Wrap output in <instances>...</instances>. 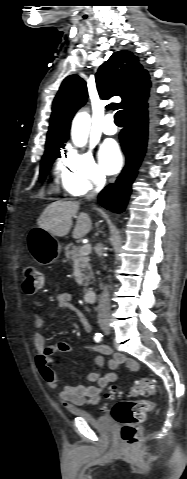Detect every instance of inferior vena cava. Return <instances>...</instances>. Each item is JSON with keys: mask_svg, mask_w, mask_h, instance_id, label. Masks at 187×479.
I'll return each instance as SVG.
<instances>
[{"mask_svg": "<svg viewBox=\"0 0 187 479\" xmlns=\"http://www.w3.org/2000/svg\"><path fill=\"white\" fill-rule=\"evenodd\" d=\"M105 179H102L98 181L97 187L90 191L86 195V200L87 201H92L94 197L96 196L97 191L104 185ZM98 249L102 252L103 245L101 243L98 244ZM110 315V298H109V291L108 287L105 286L103 288V292L101 293L100 300H99V305H98V319H106Z\"/></svg>", "mask_w": 187, "mask_h": 479, "instance_id": "inferior-vena-cava-1", "label": "inferior vena cava"}]
</instances>
